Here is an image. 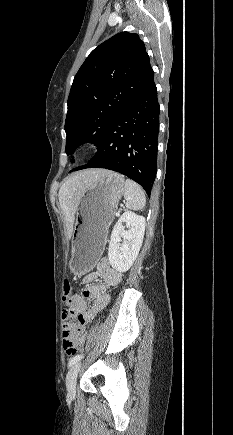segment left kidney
<instances>
[{
    "label": "left kidney",
    "mask_w": 233,
    "mask_h": 435,
    "mask_svg": "<svg viewBox=\"0 0 233 435\" xmlns=\"http://www.w3.org/2000/svg\"><path fill=\"white\" fill-rule=\"evenodd\" d=\"M123 223L129 230H125ZM145 232V218L126 211L113 228L108 248L110 265L119 272L130 269L142 246ZM121 238L123 242L121 243Z\"/></svg>",
    "instance_id": "left-kidney-1"
}]
</instances>
